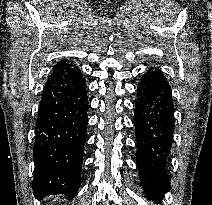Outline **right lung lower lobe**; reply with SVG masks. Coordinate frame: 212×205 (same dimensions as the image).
Masks as SVG:
<instances>
[{
    "label": "right lung lower lobe",
    "instance_id": "obj_1",
    "mask_svg": "<svg viewBox=\"0 0 212 205\" xmlns=\"http://www.w3.org/2000/svg\"><path fill=\"white\" fill-rule=\"evenodd\" d=\"M88 95L80 69L57 62L45 83L36 121L33 192L73 198L80 185L88 123Z\"/></svg>",
    "mask_w": 212,
    "mask_h": 205
}]
</instances>
